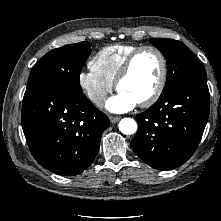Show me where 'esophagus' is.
I'll list each match as a JSON object with an SVG mask.
<instances>
[{"label": "esophagus", "mask_w": 221, "mask_h": 221, "mask_svg": "<svg viewBox=\"0 0 221 221\" xmlns=\"http://www.w3.org/2000/svg\"><path fill=\"white\" fill-rule=\"evenodd\" d=\"M109 119L111 123H117L121 118L119 116H110Z\"/></svg>", "instance_id": "1"}]
</instances>
